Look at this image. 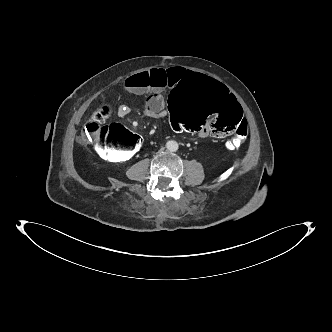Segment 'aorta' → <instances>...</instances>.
<instances>
[{
    "mask_svg": "<svg viewBox=\"0 0 332 332\" xmlns=\"http://www.w3.org/2000/svg\"><path fill=\"white\" fill-rule=\"evenodd\" d=\"M166 147L169 151L175 152L178 150V143L176 141L170 140L167 142Z\"/></svg>",
    "mask_w": 332,
    "mask_h": 332,
    "instance_id": "1",
    "label": "aorta"
}]
</instances>
